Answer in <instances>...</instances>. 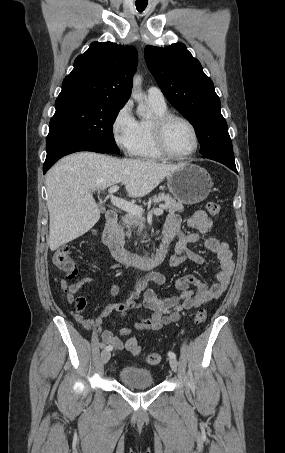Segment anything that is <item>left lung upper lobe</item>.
Segmentation results:
<instances>
[{"mask_svg":"<svg viewBox=\"0 0 285 453\" xmlns=\"http://www.w3.org/2000/svg\"><path fill=\"white\" fill-rule=\"evenodd\" d=\"M145 60L167 100L194 126L200 153L233 155L227 123L212 80L182 43L145 47Z\"/></svg>","mask_w":285,"mask_h":453,"instance_id":"5c2ea615","label":"left lung upper lobe"}]
</instances>
